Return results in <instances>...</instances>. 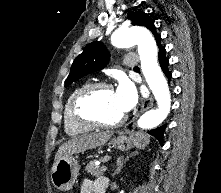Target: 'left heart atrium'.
Segmentation results:
<instances>
[{"instance_id": "1", "label": "left heart atrium", "mask_w": 221, "mask_h": 193, "mask_svg": "<svg viewBox=\"0 0 221 193\" xmlns=\"http://www.w3.org/2000/svg\"><path fill=\"white\" fill-rule=\"evenodd\" d=\"M114 92L116 101L123 113L129 112L137 104V91L129 80H121Z\"/></svg>"}]
</instances>
